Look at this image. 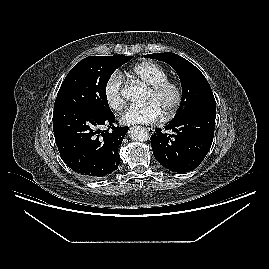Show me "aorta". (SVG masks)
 <instances>
[{
	"mask_svg": "<svg viewBox=\"0 0 269 269\" xmlns=\"http://www.w3.org/2000/svg\"><path fill=\"white\" fill-rule=\"evenodd\" d=\"M121 95L131 102H138L143 96V89L138 85H130L122 89ZM128 133L131 140L138 142L146 141L149 137L147 131L140 126L132 127Z\"/></svg>",
	"mask_w": 269,
	"mask_h": 269,
	"instance_id": "aorta-1",
	"label": "aorta"
}]
</instances>
